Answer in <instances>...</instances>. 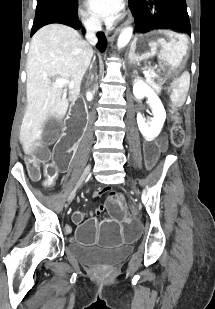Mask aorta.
I'll return each mask as SVG.
<instances>
[{"label":"aorta","mask_w":215,"mask_h":309,"mask_svg":"<svg viewBox=\"0 0 215 309\" xmlns=\"http://www.w3.org/2000/svg\"><path fill=\"white\" fill-rule=\"evenodd\" d=\"M133 34V28L132 26H125V28H122L118 40H117V46L118 48H123V46H126L128 44L131 36Z\"/></svg>","instance_id":"aorta-1"}]
</instances>
